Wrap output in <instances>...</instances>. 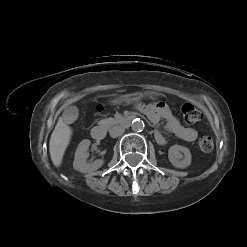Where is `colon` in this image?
Returning <instances> with one entry per match:
<instances>
[{
    "instance_id": "5ec220e1",
    "label": "colon",
    "mask_w": 247,
    "mask_h": 247,
    "mask_svg": "<svg viewBox=\"0 0 247 247\" xmlns=\"http://www.w3.org/2000/svg\"><path fill=\"white\" fill-rule=\"evenodd\" d=\"M183 120L186 124H195L201 119V112L191 103H185L181 107ZM199 147L204 152H209L213 149L214 142L212 137L203 135L199 139Z\"/></svg>"
}]
</instances>
